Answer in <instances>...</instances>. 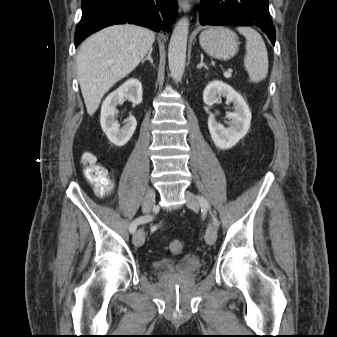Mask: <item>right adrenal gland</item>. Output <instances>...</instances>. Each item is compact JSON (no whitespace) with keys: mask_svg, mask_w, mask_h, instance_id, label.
Segmentation results:
<instances>
[{"mask_svg":"<svg viewBox=\"0 0 337 337\" xmlns=\"http://www.w3.org/2000/svg\"><path fill=\"white\" fill-rule=\"evenodd\" d=\"M152 51H153V48H151V49L149 50L147 57L144 58V59H142V61H141L142 63H144L146 60H149L150 63L153 64V60H152V58H151Z\"/></svg>","mask_w":337,"mask_h":337,"instance_id":"obj_1","label":"right adrenal gland"}]
</instances>
